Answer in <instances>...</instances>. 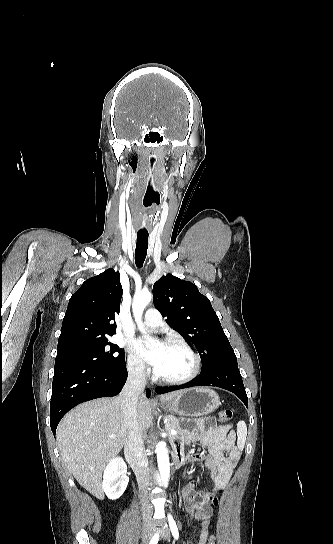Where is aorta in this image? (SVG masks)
<instances>
[{"mask_svg":"<svg viewBox=\"0 0 333 544\" xmlns=\"http://www.w3.org/2000/svg\"><path fill=\"white\" fill-rule=\"evenodd\" d=\"M151 299L152 294L149 291H141L140 293H136L134 295L132 304L133 316L137 324L141 327L143 311ZM156 454L160 476L165 487H167L170 476V462L166 444L163 442L158 443L156 446Z\"/></svg>","mask_w":333,"mask_h":544,"instance_id":"obj_1","label":"aorta"}]
</instances>
